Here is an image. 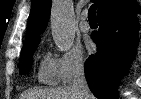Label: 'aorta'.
<instances>
[{"mask_svg": "<svg viewBox=\"0 0 141 99\" xmlns=\"http://www.w3.org/2000/svg\"><path fill=\"white\" fill-rule=\"evenodd\" d=\"M50 21L55 44L61 51H68L75 38L72 0H54L52 2Z\"/></svg>", "mask_w": 141, "mask_h": 99, "instance_id": "1", "label": "aorta"}]
</instances>
